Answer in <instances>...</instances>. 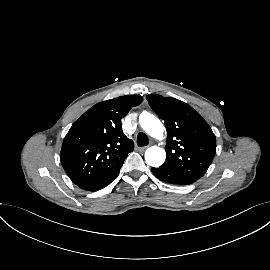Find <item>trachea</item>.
<instances>
[{
  "mask_svg": "<svg viewBox=\"0 0 270 270\" xmlns=\"http://www.w3.org/2000/svg\"><path fill=\"white\" fill-rule=\"evenodd\" d=\"M148 143H149V139H148L147 135L143 132H140L137 135V145L139 147H143V146H147Z\"/></svg>",
  "mask_w": 270,
  "mask_h": 270,
  "instance_id": "1",
  "label": "trachea"
}]
</instances>
